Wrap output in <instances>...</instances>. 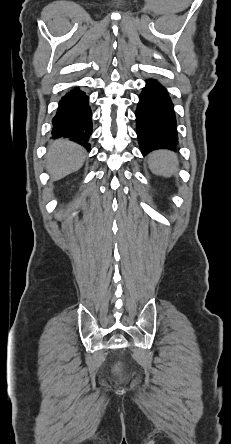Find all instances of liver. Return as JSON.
<instances>
[{
  "mask_svg": "<svg viewBox=\"0 0 231 444\" xmlns=\"http://www.w3.org/2000/svg\"><path fill=\"white\" fill-rule=\"evenodd\" d=\"M86 157V151L80 145L59 139L50 144L46 156L47 171L53 181L79 170Z\"/></svg>",
  "mask_w": 231,
  "mask_h": 444,
  "instance_id": "6515ba94",
  "label": "liver"
}]
</instances>
